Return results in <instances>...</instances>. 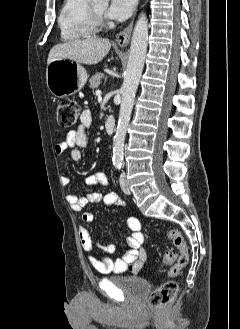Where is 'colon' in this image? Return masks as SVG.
<instances>
[{
    "label": "colon",
    "instance_id": "colon-1",
    "mask_svg": "<svg viewBox=\"0 0 240 329\" xmlns=\"http://www.w3.org/2000/svg\"><path fill=\"white\" fill-rule=\"evenodd\" d=\"M80 106L71 100L61 99L57 104L56 115L57 121L61 128L70 129L80 117ZM169 239L173 242L177 251L168 250L163 262L169 265V279L159 284L149 295V304L154 308H165L173 304L177 297L178 285L173 279L180 271L186 267L189 261V253L186 241L178 230H170Z\"/></svg>",
    "mask_w": 240,
    "mask_h": 329
}]
</instances>
